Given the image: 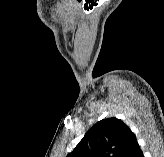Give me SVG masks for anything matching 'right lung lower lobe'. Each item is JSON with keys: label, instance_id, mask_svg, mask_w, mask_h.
Returning a JSON list of instances; mask_svg holds the SVG:
<instances>
[{"label": "right lung lower lobe", "instance_id": "1", "mask_svg": "<svg viewBox=\"0 0 164 157\" xmlns=\"http://www.w3.org/2000/svg\"><path fill=\"white\" fill-rule=\"evenodd\" d=\"M124 157H144L137 140L130 146Z\"/></svg>", "mask_w": 164, "mask_h": 157}]
</instances>
